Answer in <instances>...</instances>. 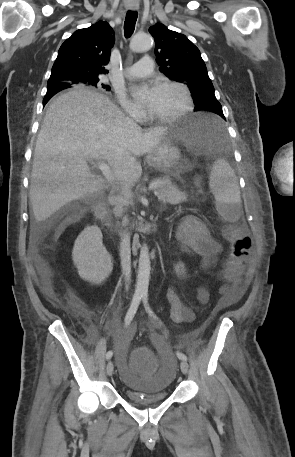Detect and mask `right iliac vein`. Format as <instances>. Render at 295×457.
<instances>
[{
  "label": "right iliac vein",
  "instance_id": "obj_1",
  "mask_svg": "<svg viewBox=\"0 0 295 457\" xmlns=\"http://www.w3.org/2000/svg\"><path fill=\"white\" fill-rule=\"evenodd\" d=\"M113 369H114L113 363H112V361H109L106 366V372H107L108 376L112 375Z\"/></svg>",
  "mask_w": 295,
  "mask_h": 457
}]
</instances>
